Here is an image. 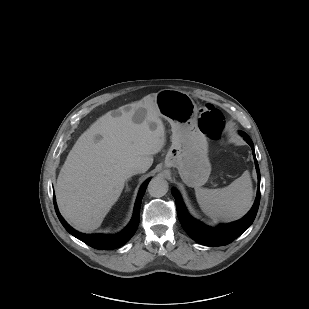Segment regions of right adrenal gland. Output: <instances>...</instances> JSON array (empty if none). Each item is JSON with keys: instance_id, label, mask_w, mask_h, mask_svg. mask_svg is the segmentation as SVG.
I'll use <instances>...</instances> for the list:
<instances>
[{"instance_id": "1", "label": "right adrenal gland", "mask_w": 309, "mask_h": 309, "mask_svg": "<svg viewBox=\"0 0 309 309\" xmlns=\"http://www.w3.org/2000/svg\"><path fill=\"white\" fill-rule=\"evenodd\" d=\"M128 182V181H127ZM125 191H130V188L128 186V183H126V190Z\"/></svg>"}]
</instances>
